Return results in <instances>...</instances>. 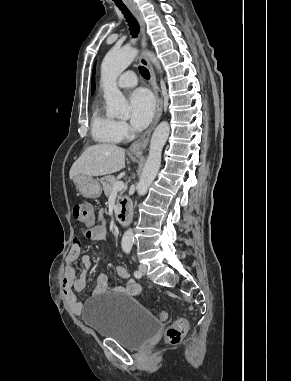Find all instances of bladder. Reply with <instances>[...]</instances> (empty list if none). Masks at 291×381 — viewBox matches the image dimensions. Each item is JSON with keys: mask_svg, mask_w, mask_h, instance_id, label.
<instances>
[{"mask_svg": "<svg viewBox=\"0 0 291 381\" xmlns=\"http://www.w3.org/2000/svg\"><path fill=\"white\" fill-rule=\"evenodd\" d=\"M98 336L113 339L132 350L143 348L155 335L160 323L134 296L92 299L82 316Z\"/></svg>", "mask_w": 291, "mask_h": 381, "instance_id": "bladder-1", "label": "bladder"}]
</instances>
